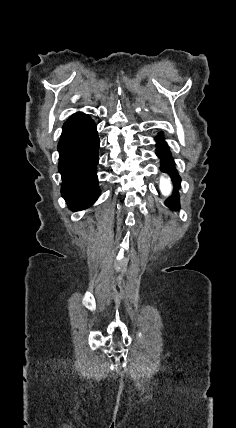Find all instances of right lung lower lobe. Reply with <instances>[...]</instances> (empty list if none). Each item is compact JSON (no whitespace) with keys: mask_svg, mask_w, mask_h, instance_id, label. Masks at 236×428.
Segmentation results:
<instances>
[{"mask_svg":"<svg viewBox=\"0 0 236 428\" xmlns=\"http://www.w3.org/2000/svg\"><path fill=\"white\" fill-rule=\"evenodd\" d=\"M98 148L94 121L87 114H73L63 125L58 144L61 193L73 211L90 207L100 195L96 175Z\"/></svg>","mask_w":236,"mask_h":428,"instance_id":"98d812e1","label":"right lung lower lobe"}]
</instances>
